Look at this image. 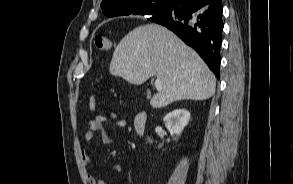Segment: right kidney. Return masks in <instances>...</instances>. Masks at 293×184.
Returning a JSON list of instances; mask_svg holds the SVG:
<instances>
[{
	"mask_svg": "<svg viewBox=\"0 0 293 184\" xmlns=\"http://www.w3.org/2000/svg\"><path fill=\"white\" fill-rule=\"evenodd\" d=\"M190 119L186 109H176L165 115L163 121L174 140H177Z\"/></svg>",
	"mask_w": 293,
	"mask_h": 184,
	"instance_id": "1",
	"label": "right kidney"
}]
</instances>
